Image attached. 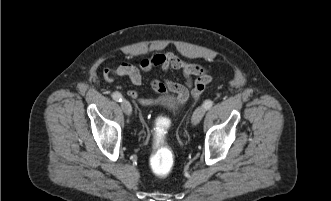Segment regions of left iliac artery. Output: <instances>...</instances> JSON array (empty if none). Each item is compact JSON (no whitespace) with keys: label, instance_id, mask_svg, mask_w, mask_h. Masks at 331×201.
I'll use <instances>...</instances> for the list:
<instances>
[{"label":"left iliac artery","instance_id":"44dca946","mask_svg":"<svg viewBox=\"0 0 331 201\" xmlns=\"http://www.w3.org/2000/svg\"><path fill=\"white\" fill-rule=\"evenodd\" d=\"M212 105H213V102H212L211 100H207V101H205L203 107H204L206 110H208V109H210V108L212 107Z\"/></svg>","mask_w":331,"mask_h":201}]
</instances>
